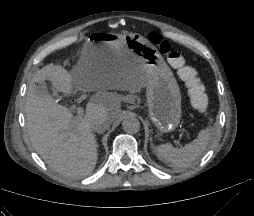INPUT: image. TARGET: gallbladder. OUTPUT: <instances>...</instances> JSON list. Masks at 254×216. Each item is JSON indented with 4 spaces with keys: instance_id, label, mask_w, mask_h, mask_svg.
<instances>
[{
    "instance_id": "gallbladder-1",
    "label": "gallbladder",
    "mask_w": 254,
    "mask_h": 216,
    "mask_svg": "<svg viewBox=\"0 0 254 216\" xmlns=\"http://www.w3.org/2000/svg\"><path fill=\"white\" fill-rule=\"evenodd\" d=\"M38 90H40L41 93H48L46 86L44 84H41Z\"/></svg>"
}]
</instances>
